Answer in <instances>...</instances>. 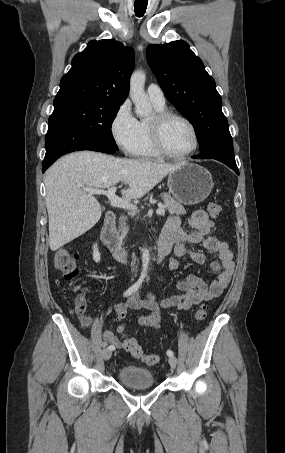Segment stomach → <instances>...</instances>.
I'll return each instance as SVG.
<instances>
[{
	"label": "stomach",
	"mask_w": 285,
	"mask_h": 453,
	"mask_svg": "<svg viewBox=\"0 0 285 453\" xmlns=\"http://www.w3.org/2000/svg\"><path fill=\"white\" fill-rule=\"evenodd\" d=\"M169 192L184 205L204 201L214 186L210 172L194 163L184 162L168 175Z\"/></svg>",
	"instance_id": "obj_1"
}]
</instances>
